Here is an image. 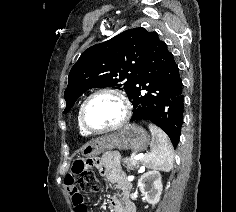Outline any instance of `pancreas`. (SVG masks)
I'll return each instance as SVG.
<instances>
[{
	"label": "pancreas",
	"mask_w": 236,
	"mask_h": 212,
	"mask_svg": "<svg viewBox=\"0 0 236 212\" xmlns=\"http://www.w3.org/2000/svg\"><path fill=\"white\" fill-rule=\"evenodd\" d=\"M140 160H134L132 158L126 157L123 159V165L126 167L127 171L134 170L140 165Z\"/></svg>",
	"instance_id": "1"
}]
</instances>
